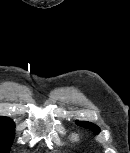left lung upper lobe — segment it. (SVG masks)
I'll use <instances>...</instances> for the list:
<instances>
[{"label":"left lung upper lobe","instance_id":"1","mask_svg":"<svg viewBox=\"0 0 130 153\" xmlns=\"http://www.w3.org/2000/svg\"><path fill=\"white\" fill-rule=\"evenodd\" d=\"M76 123L79 125V126H82V127H85V128H89L90 130H92L95 134H98L100 132V128L91 123V122H87V121H76Z\"/></svg>","mask_w":130,"mask_h":153}]
</instances>
